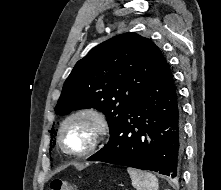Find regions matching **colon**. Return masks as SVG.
Returning a JSON list of instances; mask_svg holds the SVG:
<instances>
[{
  "label": "colon",
  "instance_id": "1",
  "mask_svg": "<svg viewBox=\"0 0 221 190\" xmlns=\"http://www.w3.org/2000/svg\"><path fill=\"white\" fill-rule=\"evenodd\" d=\"M50 190H77V188L61 179H53L50 183Z\"/></svg>",
  "mask_w": 221,
  "mask_h": 190
}]
</instances>
